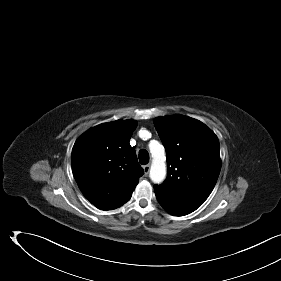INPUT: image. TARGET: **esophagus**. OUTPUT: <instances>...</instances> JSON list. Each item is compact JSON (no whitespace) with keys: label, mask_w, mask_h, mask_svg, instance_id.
<instances>
[{"label":"esophagus","mask_w":281,"mask_h":281,"mask_svg":"<svg viewBox=\"0 0 281 281\" xmlns=\"http://www.w3.org/2000/svg\"><path fill=\"white\" fill-rule=\"evenodd\" d=\"M144 174L147 175L150 171V164L143 166Z\"/></svg>","instance_id":"esophagus-1"}]
</instances>
